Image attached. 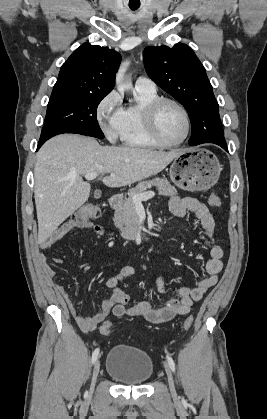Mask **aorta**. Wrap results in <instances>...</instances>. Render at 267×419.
I'll return each mask as SVG.
<instances>
[{
    "mask_svg": "<svg viewBox=\"0 0 267 419\" xmlns=\"http://www.w3.org/2000/svg\"><path fill=\"white\" fill-rule=\"evenodd\" d=\"M130 62L129 61H124L117 72L116 75V85H117V89L120 93H123L126 90H129L132 87V83H125L124 82V77H125V73L128 69Z\"/></svg>",
    "mask_w": 267,
    "mask_h": 419,
    "instance_id": "1",
    "label": "aorta"
}]
</instances>
